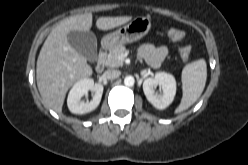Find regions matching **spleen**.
I'll use <instances>...</instances> for the list:
<instances>
[{"instance_id":"1","label":"spleen","mask_w":248,"mask_h":165,"mask_svg":"<svg viewBox=\"0 0 248 165\" xmlns=\"http://www.w3.org/2000/svg\"><path fill=\"white\" fill-rule=\"evenodd\" d=\"M207 78V65L204 59L187 64L182 71L183 96L175 113H181L192 106L201 96Z\"/></svg>"}]
</instances>
